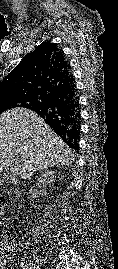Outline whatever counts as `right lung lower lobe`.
I'll list each match as a JSON object with an SVG mask.
<instances>
[{"instance_id": "obj_1", "label": "right lung lower lobe", "mask_w": 118, "mask_h": 269, "mask_svg": "<svg viewBox=\"0 0 118 269\" xmlns=\"http://www.w3.org/2000/svg\"><path fill=\"white\" fill-rule=\"evenodd\" d=\"M68 144L78 150L80 136V110L75 83L54 94L46 103L30 108Z\"/></svg>"}]
</instances>
